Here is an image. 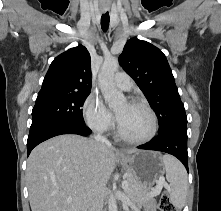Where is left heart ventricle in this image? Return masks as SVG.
Returning a JSON list of instances; mask_svg holds the SVG:
<instances>
[{"mask_svg": "<svg viewBox=\"0 0 221 211\" xmlns=\"http://www.w3.org/2000/svg\"><path fill=\"white\" fill-rule=\"evenodd\" d=\"M115 111L120 128L126 136L141 139L150 133L151 116L143 107L124 101Z\"/></svg>", "mask_w": 221, "mask_h": 211, "instance_id": "obj_1", "label": "left heart ventricle"}]
</instances>
